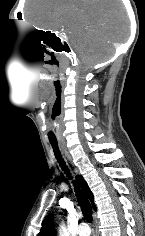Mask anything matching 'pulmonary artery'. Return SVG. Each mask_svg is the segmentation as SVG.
<instances>
[{
  "mask_svg": "<svg viewBox=\"0 0 145 236\" xmlns=\"http://www.w3.org/2000/svg\"><path fill=\"white\" fill-rule=\"evenodd\" d=\"M78 236H89L90 228L86 223H81L77 228Z\"/></svg>",
  "mask_w": 145,
  "mask_h": 236,
  "instance_id": "pulmonary-artery-1",
  "label": "pulmonary artery"
}]
</instances>
